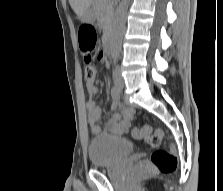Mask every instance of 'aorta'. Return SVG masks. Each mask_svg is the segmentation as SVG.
Wrapping results in <instances>:
<instances>
[{
  "mask_svg": "<svg viewBox=\"0 0 223 191\" xmlns=\"http://www.w3.org/2000/svg\"><path fill=\"white\" fill-rule=\"evenodd\" d=\"M127 9V0H122L115 11L113 33L110 39L111 53L114 61H116L120 55L122 39L125 31Z\"/></svg>",
  "mask_w": 223,
  "mask_h": 191,
  "instance_id": "1",
  "label": "aorta"
}]
</instances>
